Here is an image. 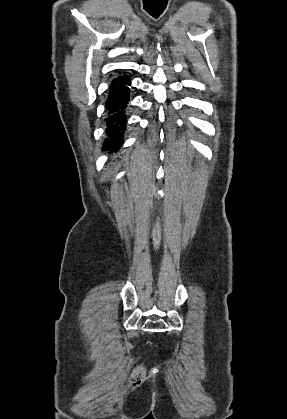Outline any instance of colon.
I'll return each instance as SVG.
<instances>
[{"instance_id":"obj_1","label":"colon","mask_w":287,"mask_h":419,"mask_svg":"<svg viewBox=\"0 0 287 419\" xmlns=\"http://www.w3.org/2000/svg\"><path fill=\"white\" fill-rule=\"evenodd\" d=\"M145 374L144 368L142 366H138L132 375L133 383H139Z\"/></svg>"}]
</instances>
